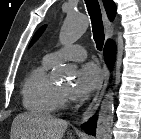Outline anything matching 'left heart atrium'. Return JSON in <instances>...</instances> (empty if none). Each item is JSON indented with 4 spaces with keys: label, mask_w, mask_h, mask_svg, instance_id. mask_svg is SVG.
<instances>
[{
    "label": "left heart atrium",
    "mask_w": 141,
    "mask_h": 139,
    "mask_svg": "<svg viewBox=\"0 0 141 139\" xmlns=\"http://www.w3.org/2000/svg\"><path fill=\"white\" fill-rule=\"evenodd\" d=\"M101 80L99 68L93 63L84 64L77 72L69 95L75 100H84L99 86Z\"/></svg>",
    "instance_id": "1"
}]
</instances>
